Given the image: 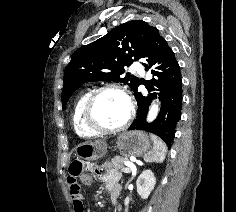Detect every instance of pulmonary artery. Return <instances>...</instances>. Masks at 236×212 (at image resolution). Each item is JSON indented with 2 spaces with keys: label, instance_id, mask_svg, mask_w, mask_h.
<instances>
[{
  "label": "pulmonary artery",
  "instance_id": "e3ab8cb5",
  "mask_svg": "<svg viewBox=\"0 0 236 212\" xmlns=\"http://www.w3.org/2000/svg\"><path fill=\"white\" fill-rule=\"evenodd\" d=\"M133 70L141 75L144 74V69L139 63H134L132 66Z\"/></svg>",
  "mask_w": 236,
  "mask_h": 212
}]
</instances>
